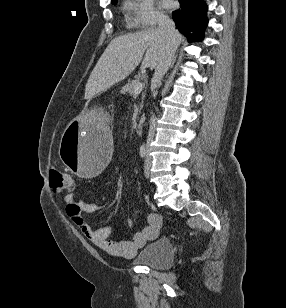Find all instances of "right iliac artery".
Masks as SVG:
<instances>
[{
    "instance_id": "obj_1",
    "label": "right iliac artery",
    "mask_w": 286,
    "mask_h": 308,
    "mask_svg": "<svg viewBox=\"0 0 286 308\" xmlns=\"http://www.w3.org/2000/svg\"><path fill=\"white\" fill-rule=\"evenodd\" d=\"M147 155V148L145 146H141L140 147V156L142 158H145ZM150 209L153 210L154 212H157L158 211V208L155 206L154 203H151L150 204Z\"/></svg>"
}]
</instances>
